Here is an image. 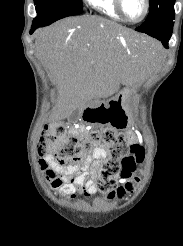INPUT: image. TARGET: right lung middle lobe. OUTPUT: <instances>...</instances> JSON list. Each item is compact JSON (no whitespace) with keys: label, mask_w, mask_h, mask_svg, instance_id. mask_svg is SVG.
I'll return each instance as SVG.
<instances>
[{"label":"right lung middle lobe","mask_w":183,"mask_h":246,"mask_svg":"<svg viewBox=\"0 0 183 246\" xmlns=\"http://www.w3.org/2000/svg\"><path fill=\"white\" fill-rule=\"evenodd\" d=\"M37 17L33 23L49 25L54 21L83 12L82 0H34Z\"/></svg>","instance_id":"right-lung-middle-lobe-1"}]
</instances>
